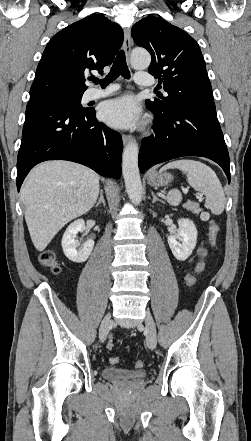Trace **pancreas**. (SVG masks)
<instances>
[{
  "label": "pancreas",
  "mask_w": 251,
  "mask_h": 441,
  "mask_svg": "<svg viewBox=\"0 0 251 441\" xmlns=\"http://www.w3.org/2000/svg\"><path fill=\"white\" fill-rule=\"evenodd\" d=\"M183 207L185 209L191 211L194 214H199L202 211L199 204L195 203V202H188V203L184 204Z\"/></svg>",
  "instance_id": "1"
}]
</instances>
